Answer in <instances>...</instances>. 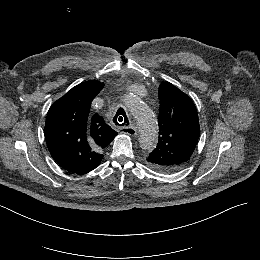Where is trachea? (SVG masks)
<instances>
[{"label": "trachea", "mask_w": 260, "mask_h": 260, "mask_svg": "<svg viewBox=\"0 0 260 260\" xmlns=\"http://www.w3.org/2000/svg\"><path fill=\"white\" fill-rule=\"evenodd\" d=\"M113 123L116 126H125V125L128 126L129 125L128 117L123 108H119L117 110V112L113 118Z\"/></svg>", "instance_id": "obj_1"}]
</instances>
